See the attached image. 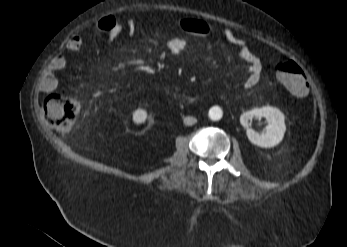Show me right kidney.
<instances>
[{"instance_id": "1", "label": "right kidney", "mask_w": 347, "mask_h": 247, "mask_svg": "<svg viewBox=\"0 0 347 247\" xmlns=\"http://www.w3.org/2000/svg\"><path fill=\"white\" fill-rule=\"evenodd\" d=\"M147 118V112L144 109H138L133 113V121L136 124L144 122Z\"/></svg>"}]
</instances>
